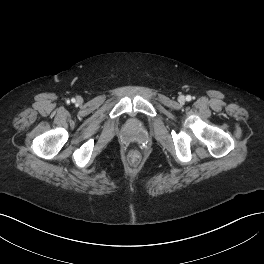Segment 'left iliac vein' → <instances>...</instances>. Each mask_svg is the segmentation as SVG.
Masks as SVG:
<instances>
[{
	"label": "left iliac vein",
	"instance_id": "left-iliac-vein-1",
	"mask_svg": "<svg viewBox=\"0 0 264 264\" xmlns=\"http://www.w3.org/2000/svg\"><path fill=\"white\" fill-rule=\"evenodd\" d=\"M180 103H184L185 102V97L183 95L179 96L178 98Z\"/></svg>",
	"mask_w": 264,
	"mask_h": 264
}]
</instances>
